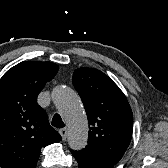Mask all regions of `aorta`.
<instances>
[{"mask_svg":"<svg viewBox=\"0 0 168 168\" xmlns=\"http://www.w3.org/2000/svg\"><path fill=\"white\" fill-rule=\"evenodd\" d=\"M51 96L68 124L70 148L72 150L85 148L88 140V120L80 97L74 90L64 85L56 86Z\"/></svg>","mask_w":168,"mask_h":168,"instance_id":"aorta-1","label":"aorta"}]
</instances>
